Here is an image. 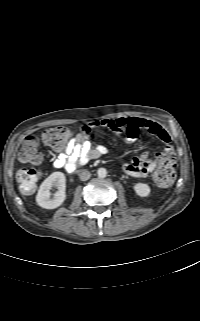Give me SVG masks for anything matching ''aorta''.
<instances>
[{"label": "aorta", "mask_w": 200, "mask_h": 321, "mask_svg": "<svg viewBox=\"0 0 200 321\" xmlns=\"http://www.w3.org/2000/svg\"><path fill=\"white\" fill-rule=\"evenodd\" d=\"M97 175L99 178H105L107 176V170L105 168H99L97 170Z\"/></svg>", "instance_id": "obj_1"}]
</instances>
